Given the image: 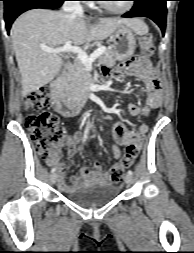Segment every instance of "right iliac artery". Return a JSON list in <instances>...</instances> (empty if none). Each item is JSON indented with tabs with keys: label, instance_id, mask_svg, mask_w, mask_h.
I'll list each match as a JSON object with an SVG mask.
<instances>
[{
	"label": "right iliac artery",
	"instance_id": "1",
	"mask_svg": "<svg viewBox=\"0 0 194 253\" xmlns=\"http://www.w3.org/2000/svg\"><path fill=\"white\" fill-rule=\"evenodd\" d=\"M55 171H56L55 167L51 169V173H54Z\"/></svg>",
	"mask_w": 194,
	"mask_h": 253
}]
</instances>
